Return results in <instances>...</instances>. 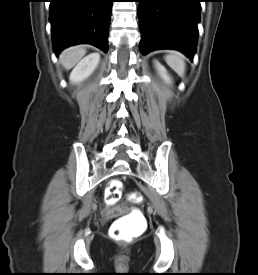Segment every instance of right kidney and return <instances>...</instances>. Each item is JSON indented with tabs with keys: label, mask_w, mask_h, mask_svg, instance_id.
I'll return each instance as SVG.
<instances>
[{
	"label": "right kidney",
	"mask_w": 258,
	"mask_h": 275,
	"mask_svg": "<svg viewBox=\"0 0 258 275\" xmlns=\"http://www.w3.org/2000/svg\"><path fill=\"white\" fill-rule=\"evenodd\" d=\"M100 61L98 53H92L80 60L70 74V82L79 84L87 79L97 68Z\"/></svg>",
	"instance_id": "obj_1"
}]
</instances>
